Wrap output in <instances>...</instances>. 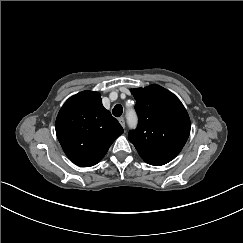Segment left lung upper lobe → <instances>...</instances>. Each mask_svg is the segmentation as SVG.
Instances as JSON below:
<instances>
[{
	"instance_id": "obj_1",
	"label": "left lung upper lobe",
	"mask_w": 243,
	"mask_h": 243,
	"mask_svg": "<svg viewBox=\"0 0 243 243\" xmlns=\"http://www.w3.org/2000/svg\"><path fill=\"white\" fill-rule=\"evenodd\" d=\"M139 117L136 130L128 138L141 158L160 166L174 159L190 134V119L180 100L159 85L131 90Z\"/></svg>"
}]
</instances>
